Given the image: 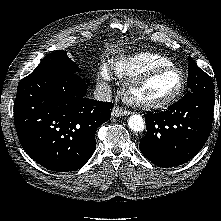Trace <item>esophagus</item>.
Masks as SVG:
<instances>
[{"label": "esophagus", "mask_w": 221, "mask_h": 221, "mask_svg": "<svg viewBox=\"0 0 221 221\" xmlns=\"http://www.w3.org/2000/svg\"><path fill=\"white\" fill-rule=\"evenodd\" d=\"M130 112L120 106L115 105L112 109V116L113 117H120V116H126L129 115Z\"/></svg>", "instance_id": "obj_1"}]
</instances>
